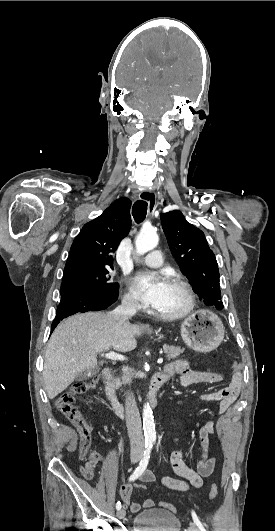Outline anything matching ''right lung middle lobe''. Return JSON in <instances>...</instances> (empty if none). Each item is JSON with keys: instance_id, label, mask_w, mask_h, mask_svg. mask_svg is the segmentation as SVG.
<instances>
[{"instance_id": "right-lung-middle-lobe-1", "label": "right lung middle lobe", "mask_w": 275, "mask_h": 531, "mask_svg": "<svg viewBox=\"0 0 275 531\" xmlns=\"http://www.w3.org/2000/svg\"><path fill=\"white\" fill-rule=\"evenodd\" d=\"M110 268L86 267L64 272L61 292L82 290L101 300L114 299L118 297L119 286L111 282Z\"/></svg>"}]
</instances>
